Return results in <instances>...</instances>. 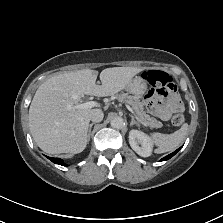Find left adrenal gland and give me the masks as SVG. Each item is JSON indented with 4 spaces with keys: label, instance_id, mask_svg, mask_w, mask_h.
<instances>
[{
    "label": "left adrenal gland",
    "instance_id": "left-adrenal-gland-1",
    "mask_svg": "<svg viewBox=\"0 0 223 223\" xmlns=\"http://www.w3.org/2000/svg\"><path fill=\"white\" fill-rule=\"evenodd\" d=\"M130 117H131V119H130V125H132L134 123H140L141 122L139 119L136 120L134 118L133 114H130Z\"/></svg>",
    "mask_w": 223,
    "mask_h": 223
}]
</instances>
